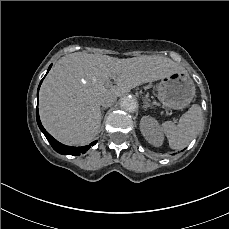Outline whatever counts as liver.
I'll return each mask as SVG.
<instances>
[{"label": "liver", "instance_id": "1", "mask_svg": "<svg viewBox=\"0 0 229 229\" xmlns=\"http://www.w3.org/2000/svg\"><path fill=\"white\" fill-rule=\"evenodd\" d=\"M187 72L162 56L127 59L76 52L60 58L43 81L39 115L44 128L65 145H84L100 131L102 102L114 103L141 84ZM114 79L115 84L110 83Z\"/></svg>", "mask_w": 229, "mask_h": 229}]
</instances>
